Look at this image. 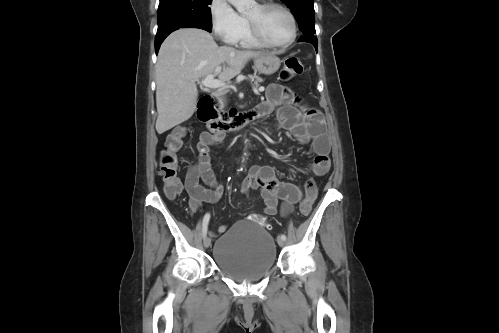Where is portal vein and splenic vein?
<instances>
[{
    "label": "portal vein and splenic vein",
    "instance_id": "portal-vein-and-splenic-vein-1",
    "mask_svg": "<svg viewBox=\"0 0 499 333\" xmlns=\"http://www.w3.org/2000/svg\"><path fill=\"white\" fill-rule=\"evenodd\" d=\"M221 71V67H217L215 69L214 74H210L206 76L202 81L201 85L207 88H220V87H226L225 81L215 79V75L218 74ZM255 92H263L264 87L259 88L258 90L254 89Z\"/></svg>",
    "mask_w": 499,
    "mask_h": 333
}]
</instances>
